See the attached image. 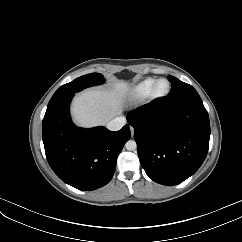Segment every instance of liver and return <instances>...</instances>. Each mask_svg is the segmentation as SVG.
Listing matches in <instances>:
<instances>
[{
  "label": "liver",
  "instance_id": "obj_1",
  "mask_svg": "<svg viewBox=\"0 0 242 242\" xmlns=\"http://www.w3.org/2000/svg\"><path fill=\"white\" fill-rule=\"evenodd\" d=\"M127 89L128 85L119 81L113 89L92 88L78 93L71 107L74 122L85 128L109 122L121 113Z\"/></svg>",
  "mask_w": 242,
  "mask_h": 242
}]
</instances>
